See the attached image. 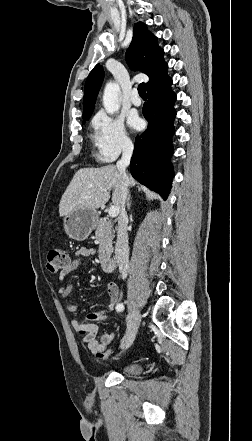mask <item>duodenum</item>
<instances>
[{
    "mask_svg": "<svg viewBox=\"0 0 252 441\" xmlns=\"http://www.w3.org/2000/svg\"><path fill=\"white\" fill-rule=\"evenodd\" d=\"M101 268L105 273H111L114 270V261L113 259L104 254L101 257Z\"/></svg>",
    "mask_w": 252,
    "mask_h": 441,
    "instance_id": "410a0bca",
    "label": "duodenum"
}]
</instances>
